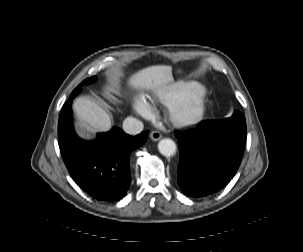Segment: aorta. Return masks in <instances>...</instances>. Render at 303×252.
<instances>
[{
  "label": "aorta",
  "mask_w": 303,
  "mask_h": 252,
  "mask_svg": "<svg viewBox=\"0 0 303 252\" xmlns=\"http://www.w3.org/2000/svg\"><path fill=\"white\" fill-rule=\"evenodd\" d=\"M158 150L164 156H173L176 153V144L172 139L165 138L159 141Z\"/></svg>",
  "instance_id": "1"
}]
</instances>
